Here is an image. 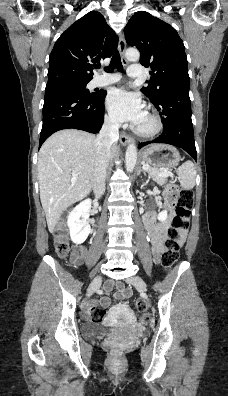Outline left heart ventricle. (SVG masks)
<instances>
[{
  "instance_id": "b2bd125f",
  "label": "left heart ventricle",
  "mask_w": 228,
  "mask_h": 396,
  "mask_svg": "<svg viewBox=\"0 0 228 396\" xmlns=\"http://www.w3.org/2000/svg\"><path fill=\"white\" fill-rule=\"evenodd\" d=\"M137 126L143 130H148L152 128L153 122L149 117V115L145 113V116L143 117L142 121Z\"/></svg>"
}]
</instances>
